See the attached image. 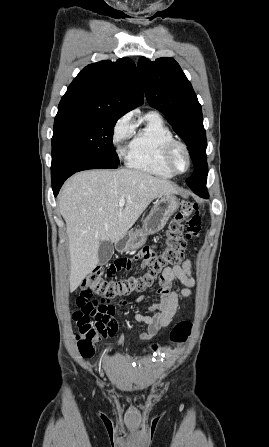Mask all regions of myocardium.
Masks as SVG:
<instances>
[{"label": "myocardium", "instance_id": "myocardium-1", "mask_svg": "<svg viewBox=\"0 0 269 447\" xmlns=\"http://www.w3.org/2000/svg\"><path fill=\"white\" fill-rule=\"evenodd\" d=\"M178 150H182L186 155L187 168L184 171H179L175 165L174 158H175L176 152ZM164 161L174 174H183V173L187 172L191 165V157H190L189 149L186 146V144H184L183 142L178 141L176 139L169 142L165 147Z\"/></svg>", "mask_w": 269, "mask_h": 447}]
</instances>
